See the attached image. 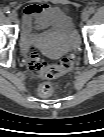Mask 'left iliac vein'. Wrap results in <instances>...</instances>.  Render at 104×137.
Returning <instances> with one entry per match:
<instances>
[{"label":"left iliac vein","mask_w":104,"mask_h":137,"mask_svg":"<svg viewBox=\"0 0 104 137\" xmlns=\"http://www.w3.org/2000/svg\"><path fill=\"white\" fill-rule=\"evenodd\" d=\"M81 18H82L83 21H87L89 19V12L84 11L81 15Z\"/></svg>","instance_id":"1"}]
</instances>
